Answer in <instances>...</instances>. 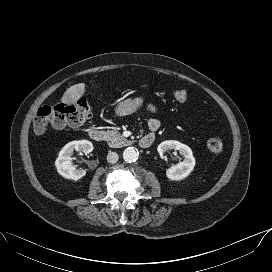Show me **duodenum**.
Segmentation results:
<instances>
[{
  "instance_id": "obj_1",
  "label": "duodenum",
  "mask_w": 272,
  "mask_h": 272,
  "mask_svg": "<svg viewBox=\"0 0 272 272\" xmlns=\"http://www.w3.org/2000/svg\"><path fill=\"white\" fill-rule=\"evenodd\" d=\"M90 138L95 142H102L104 140V132L98 128H92L89 131ZM154 142V135L148 134L141 138L139 144L142 148H148Z\"/></svg>"
}]
</instances>
